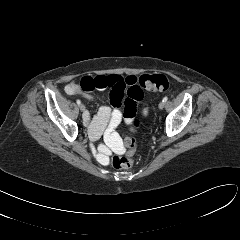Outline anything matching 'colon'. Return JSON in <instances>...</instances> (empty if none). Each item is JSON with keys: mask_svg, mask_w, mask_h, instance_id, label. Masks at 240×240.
Wrapping results in <instances>:
<instances>
[{"mask_svg": "<svg viewBox=\"0 0 240 240\" xmlns=\"http://www.w3.org/2000/svg\"><path fill=\"white\" fill-rule=\"evenodd\" d=\"M171 84L168 78L163 74H147L142 75L138 79L137 85L131 86L127 90L124 101V117L134 127L139 126V121L136 119L137 103L143 98L142 89L153 92H162L170 89ZM127 154L115 155L112 157V165L117 169H128L133 165V156L136 151V141L129 138L126 141Z\"/></svg>", "mask_w": 240, "mask_h": 240, "instance_id": "1", "label": "colon"}]
</instances>
